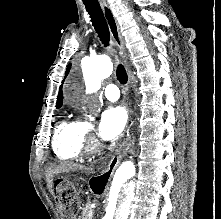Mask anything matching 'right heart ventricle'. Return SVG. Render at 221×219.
Wrapping results in <instances>:
<instances>
[{
    "instance_id": "e07e8e85",
    "label": "right heart ventricle",
    "mask_w": 221,
    "mask_h": 219,
    "mask_svg": "<svg viewBox=\"0 0 221 219\" xmlns=\"http://www.w3.org/2000/svg\"><path fill=\"white\" fill-rule=\"evenodd\" d=\"M85 123L80 120L62 121L53 137V151L62 161L74 162L85 152Z\"/></svg>"
}]
</instances>
